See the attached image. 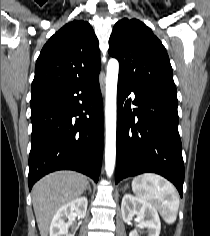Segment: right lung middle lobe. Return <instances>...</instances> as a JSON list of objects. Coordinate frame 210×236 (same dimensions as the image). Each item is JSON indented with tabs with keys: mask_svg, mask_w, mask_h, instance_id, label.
<instances>
[{
	"mask_svg": "<svg viewBox=\"0 0 210 236\" xmlns=\"http://www.w3.org/2000/svg\"><path fill=\"white\" fill-rule=\"evenodd\" d=\"M58 93H59V91H56L53 89H48V88L36 90V91L32 92V98H31L30 105H33L43 99L55 96Z\"/></svg>",
	"mask_w": 210,
	"mask_h": 236,
	"instance_id": "1",
	"label": "right lung middle lobe"
}]
</instances>
